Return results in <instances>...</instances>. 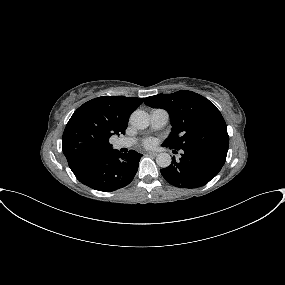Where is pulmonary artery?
Here are the masks:
<instances>
[{
    "label": "pulmonary artery",
    "instance_id": "obj_1",
    "mask_svg": "<svg viewBox=\"0 0 285 285\" xmlns=\"http://www.w3.org/2000/svg\"><path fill=\"white\" fill-rule=\"evenodd\" d=\"M169 121V114L164 109H154L150 112V125L152 130L163 128ZM136 143L134 138H122L115 142L117 148H130Z\"/></svg>",
    "mask_w": 285,
    "mask_h": 285
}]
</instances>
